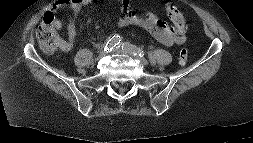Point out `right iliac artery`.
<instances>
[{
    "label": "right iliac artery",
    "mask_w": 253,
    "mask_h": 143,
    "mask_svg": "<svg viewBox=\"0 0 253 143\" xmlns=\"http://www.w3.org/2000/svg\"><path fill=\"white\" fill-rule=\"evenodd\" d=\"M121 41H122V37H120L119 35L112 36L106 41L104 45V50L111 51L113 48L117 47Z\"/></svg>",
    "instance_id": "1"
}]
</instances>
